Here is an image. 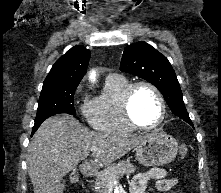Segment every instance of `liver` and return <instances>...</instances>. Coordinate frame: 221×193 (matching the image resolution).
Wrapping results in <instances>:
<instances>
[{
    "mask_svg": "<svg viewBox=\"0 0 221 193\" xmlns=\"http://www.w3.org/2000/svg\"><path fill=\"white\" fill-rule=\"evenodd\" d=\"M150 134H101L84 127L73 116L46 119L28 146V174L34 193H63V177L91 156L110 164L138 146Z\"/></svg>",
    "mask_w": 221,
    "mask_h": 193,
    "instance_id": "6515ba94",
    "label": "liver"
}]
</instances>
